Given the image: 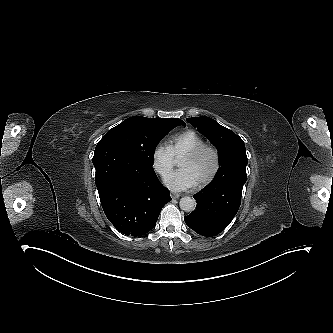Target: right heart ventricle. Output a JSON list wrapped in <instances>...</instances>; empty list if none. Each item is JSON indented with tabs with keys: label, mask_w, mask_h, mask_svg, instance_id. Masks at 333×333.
Returning a JSON list of instances; mask_svg holds the SVG:
<instances>
[{
	"label": "right heart ventricle",
	"mask_w": 333,
	"mask_h": 333,
	"mask_svg": "<svg viewBox=\"0 0 333 333\" xmlns=\"http://www.w3.org/2000/svg\"><path fill=\"white\" fill-rule=\"evenodd\" d=\"M203 145V140L194 131H185L169 144V150L176 160H181L188 152Z\"/></svg>",
	"instance_id": "right-heart-ventricle-1"
}]
</instances>
